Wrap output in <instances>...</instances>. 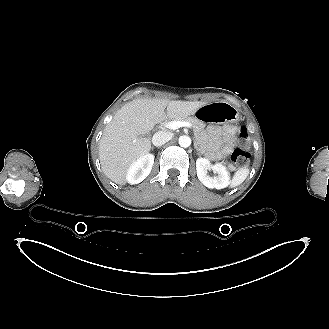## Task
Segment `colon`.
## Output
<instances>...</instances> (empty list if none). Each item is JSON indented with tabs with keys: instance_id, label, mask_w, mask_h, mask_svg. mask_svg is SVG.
<instances>
[{
	"instance_id": "5ec220e1",
	"label": "colon",
	"mask_w": 329,
	"mask_h": 329,
	"mask_svg": "<svg viewBox=\"0 0 329 329\" xmlns=\"http://www.w3.org/2000/svg\"><path fill=\"white\" fill-rule=\"evenodd\" d=\"M249 144L250 137L248 129L242 126L239 130V146L232 153V160L239 167L245 166L250 160Z\"/></svg>"
}]
</instances>
